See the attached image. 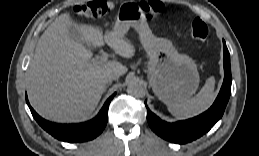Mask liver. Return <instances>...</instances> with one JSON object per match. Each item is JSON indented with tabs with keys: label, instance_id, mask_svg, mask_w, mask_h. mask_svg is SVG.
Masks as SVG:
<instances>
[{
	"label": "liver",
	"instance_id": "liver-1",
	"mask_svg": "<svg viewBox=\"0 0 259 156\" xmlns=\"http://www.w3.org/2000/svg\"><path fill=\"white\" fill-rule=\"evenodd\" d=\"M76 27L87 46L74 41L69 28ZM104 42L118 55L131 58L135 47L124 34L106 32L74 22L69 13L58 16L41 35L27 70L30 104L45 119L58 123L79 122L97 107L107 84L106 75L127 68L117 61L102 66L91 63L92 51Z\"/></svg>",
	"mask_w": 259,
	"mask_h": 156
}]
</instances>
